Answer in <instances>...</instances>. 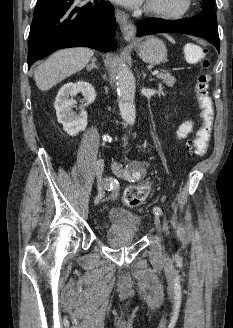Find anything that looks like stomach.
I'll return each instance as SVG.
<instances>
[{"instance_id": "1", "label": "stomach", "mask_w": 233, "mask_h": 328, "mask_svg": "<svg viewBox=\"0 0 233 328\" xmlns=\"http://www.w3.org/2000/svg\"><path fill=\"white\" fill-rule=\"evenodd\" d=\"M139 57L146 63L158 65L167 59V48L162 40L147 36L136 45Z\"/></svg>"}]
</instances>
